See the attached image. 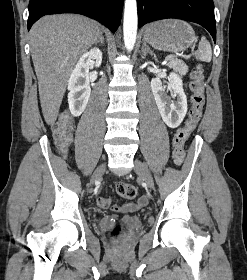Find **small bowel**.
Masks as SVG:
<instances>
[{
  "label": "small bowel",
  "instance_id": "c3829d8e",
  "mask_svg": "<svg viewBox=\"0 0 247 280\" xmlns=\"http://www.w3.org/2000/svg\"><path fill=\"white\" fill-rule=\"evenodd\" d=\"M100 201H104V205L100 204ZM110 200L107 198H99L98 199V205L101 208H108L110 206ZM147 204V198L145 196H141L136 202L134 203H128V204H124L122 206H116L114 209L118 210V211H135L138 209H141L142 207H144Z\"/></svg>",
  "mask_w": 247,
  "mask_h": 280
}]
</instances>
